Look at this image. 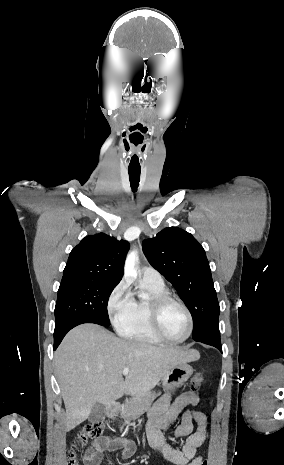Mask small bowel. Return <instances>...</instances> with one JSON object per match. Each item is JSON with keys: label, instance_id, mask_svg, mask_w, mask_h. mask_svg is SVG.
I'll use <instances>...</instances> for the list:
<instances>
[{"label": "small bowel", "instance_id": "1", "mask_svg": "<svg viewBox=\"0 0 284 465\" xmlns=\"http://www.w3.org/2000/svg\"><path fill=\"white\" fill-rule=\"evenodd\" d=\"M199 399L191 392H184L172 399V393L162 395L149 412V420L146 431L150 444L156 448L166 460L174 465H205V460L197 455V449L204 443L207 435L208 421L206 416L199 411H190L183 415L180 425L174 430L175 437H186L181 449L170 447L163 436L162 430L172 424L187 405H196ZM194 424L197 428L193 432ZM117 446L115 440H107L101 452H110ZM121 456L123 459L132 457L135 446L130 440L120 442ZM88 461L93 456L86 458Z\"/></svg>", "mask_w": 284, "mask_h": 465}]
</instances>
